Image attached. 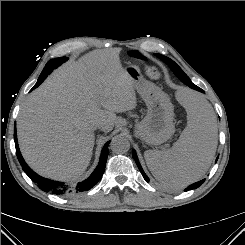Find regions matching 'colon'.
<instances>
[{
    "mask_svg": "<svg viewBox=\"0 0 245 245\" xmlns=\"http://www.w3.org/2000/svg\"><path fill=\"white\" fill-rule=\"evenodd\" d=\"M134 57L136 58H140L141 55L139 53H134L133 54ZM147 72L148 74L151 76V77H154V78H158L160 76L159 74V71L157 70V68L153 65H149L148 68H147Z\"/></svg>",
    "mask_w": 245,
    "mask_h": 245,
    "instance_id": "colon-1",
    "label": "colon"
}]
</instances>
